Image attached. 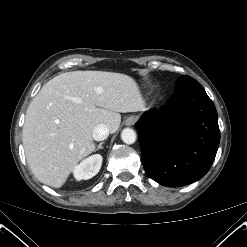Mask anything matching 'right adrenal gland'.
Returning a JSON list of instances; mask_svg holds the SVG:
<instances>
[{
  "mask_svg": "<svg viewBox=\"0 0 247 247\" xmlns=\"http://www.w3.org/2000/svg\"><path fill=\"white\" fill-rule=\"evenodd\" d=\"M103 144H104V142L99 143V145L97 146L96 150L102 149L103 148L102 147Z\"/></svg>",
  "mask_w": 247,
  "mask_h": 247,
  "instance_id": "2a0ac1e0",
  "label": "right adrenal gland"
}]
</instances>
